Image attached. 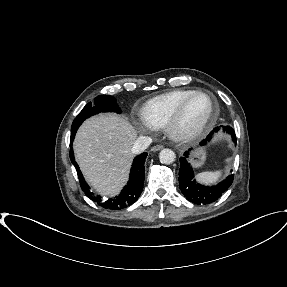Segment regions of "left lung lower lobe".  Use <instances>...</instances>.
<instances>
[{"mask_svg": "<svg viewBox=\"0 0 287 287\" xmlns=\"http://www.w3.org/2000/svg\"><path fill=\"white\" fill-rule=\"evenodd\" d=\"M224 131L231 134L233 142L236 143V137L234 130L230 127H224ZM219 131V128H214L213 132L207 137L206 140L201 142V145H206L212 135ZM191 149L184 153V156L180 158L179 169V186L180 190L186 198L195 204H209L216 201L220 196L231 186L234 174H230L222 182L214 186H204L197 183L194 179V172L189 163V155Z\"/></svg>", "mask_w": 287, "mask_h": 287, "instance_id": "0a47b994", "label": "left lung lower lobe"}]
</instances>
